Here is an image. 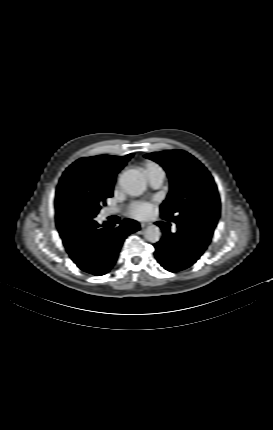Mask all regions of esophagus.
Segmentation results:
<instances>
[{
  "mask_svg": "<svg viewBox=\"0 0 273 430\" xmlns=\"http://www.w3.org/2000/svg\"><path fill=\"white\" fill-rule=\"evenodd\" d=\"M149 225H151V223H149V222H142V223L140 224L141 228H145V227H147V226H149Z\"/></svg>",
  "mask_w": 273,
  "mask_h": 430,
  "instance_id": "34e87169",
  "label": "esophagus"
}]
</instances>
